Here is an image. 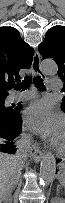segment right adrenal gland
<instances>
[{"label": "right adrenal gland", "instance_id": "1", "mask_svg": "<svg viewBox=\"0 0 65 203\" xmlns=\"http://www.w3.org/2000/svg\"><path fill=\"white\" fill-rule=\"evenodd\" d=\"M4 203H12L11 192L9 193L8 198L6 200H4Z\"/></svg>", "mask_w": 65, "mask_h": 203}]
</instances>
